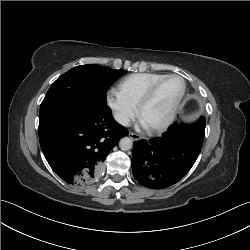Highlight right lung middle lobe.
Wrapping results in <instances>:
<instances>
[{"instance_id":"right-lung-middle-lobe-1","label":"right lung middle lobe","mask_w":250,"mask_h":250,"mask_svg":"<svg viewBox=\"0 0 250 250\" xmlns=\"http://www.w3.org/2000/svg\"><path fill=\"white\" fill-rule=\"evenodd\" d=\"M125 72L91 64L72 68L51 85L41 103L39 117L75 101L107 105L108 89Z\"/></svg>"}]
</instances>
